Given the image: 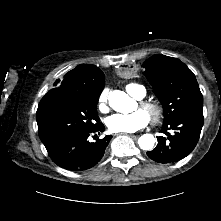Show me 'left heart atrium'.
I'll use <instances>...</instances> for the list:
<instances>
[{
	"mask_svg": "<svg viewBox=\"0 0 221 221\" xmlns=\"http://www.w3.org/2000/svg\"><path fill=\"white\" fill-rule=\"evenodd\" d=\"M149 116L143 110L130 114H114L106 120V125L111 132L131 133L146 127Z\"/></svg>",
	"mask_w": 221,
	"mask_h": 221,
	"instance_id": "left-heart-atrium-1",
	"label": "left heart atrium"
}]
</instances>
